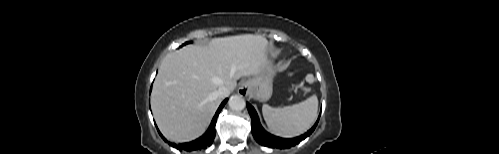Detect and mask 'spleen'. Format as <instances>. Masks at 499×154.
<instances>
[{
    "mask_svg": "<svg viewBox=\"0 0 499 154\" xmlns=\"http://www.w3.org/2000/svg\"><path fill=\"white\" fill-rule=\"evenodd\" d=\"M317 110L318 99L313 95L298 104L282 108L264 104L262 114L273 133L291 138L301 135L312 126L317 117Z\"/></svg>",
    "mask_w": 499,
    "mask_h": 154,
    "instance_id": "3e777b00",
    "label": "spleen"
}]
</instances>
